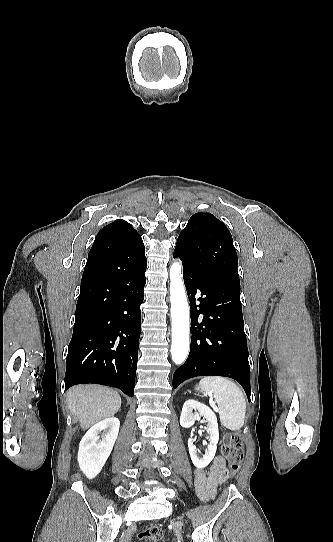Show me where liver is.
Instances as JSON below:
<instances>
[{"label":"liver","mask_w":333,"mask_h":542,"mask_svg":"<svg viewBox=\"0 0 333 542\" xmlns=\"http://www.w3.org/2000/svg\"><path fill=\"white\" fill-rule=\"evenodd\" d=\"M67 404L79 418L82 430H88L101 420L113 418L121 408V398L118 392L102 386H74L67 392Z\"/></svg>","instance_id":"obj_1"}]
</instances>
